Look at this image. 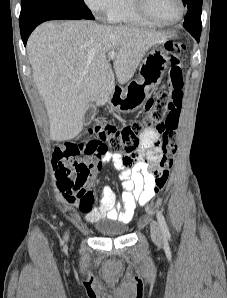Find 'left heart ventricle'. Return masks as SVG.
Returning a JSON list of instances; mask_svg holds the SVG:
<instances>
[{
	"label": "left heart ventricle",
	"instance_id": "b2bd125f",
	"mask_svg": "<svg viewBox=\"0 0 227 298\" xmlns=\"http://www.w3.org/2000/svg\"><path fill=\"white\" fill-rule=\"evenodd\" d=\"M149 12L156 19L169 22L179 13L177 0H147Z\"/></svg>",
	"mask_w": 227,
	"mask_h": 298
}]
</instances>
